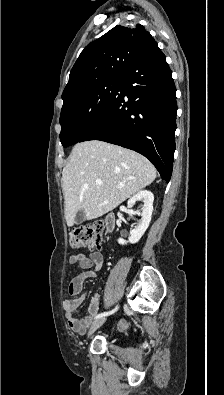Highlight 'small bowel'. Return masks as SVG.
Listing matches in <instances>:
<instances>
[{"mask_svg":"<svg viewBox=\"0 0 224 395\" xmlns=\"http://www.w3.org/2000/svg\"><path fill=\"white\" fill-rule=\"evenodd\" d=\"M69 264L71 266H78L82 269V272L74 276L69 283L68 293L75 298L64 302V311L70 329L76 333L82 334L92 323L93 317L98 313L100 299L99 293H96L93 297L86 316L82 319H77L74 316V313L86 298V293L83 292L84 281L87 278L95 276L96 272L103 264V256L99 251H93L89 255L83 253L74 254L70 256ZM125 327L126 322L121 320L118 324V329H124Z\"/></svg>","mask_w":224,"mask_h":395,"instance_id":"small-bowel-1","label":"small bowel"}]
</instances>
